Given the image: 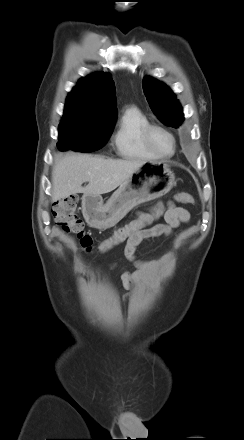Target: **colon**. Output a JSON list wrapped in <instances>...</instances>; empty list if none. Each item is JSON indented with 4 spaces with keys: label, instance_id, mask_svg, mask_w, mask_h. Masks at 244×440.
Listing matches in <instances>:
<instances>
[{
    "label": "colon",
    "instance_id": "colon-1",
    "mask_svg": "<svg viewBox=\"0 0 244 440\" xmlns=\"http://www.w3.org/2000/svg\"><path fill=\"white\" fill-rule=\"evenodd\" d=\"M175 200L192 204L193 197L186 192H180L175 195ZM164 208L152 209L138 215L124 226L117 229L110 237L105 239L99 246L101 253H106L117 245L126 241L133 234L153 225L164 213ZM54 215L58 225L66 232L75 234L82 248L90 250L92 247L91 237L84 231V224L77 212V199L69 197L58 203L54 208Z\"/></svg>",
    "mask_w": 244,
    "mask_h": 440
}]
</instances>
